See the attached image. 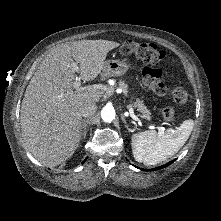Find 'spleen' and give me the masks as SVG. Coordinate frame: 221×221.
I'll use <instances>...</instances> for the list:
<instances>
[{"instance_id": "1", "label": "spleen", "mask_w": 221, "mask_h": 221, "mask_svg": "<svg viewBox=\"0 0 221 221\" xmlns=\"http://www.w3.org/2000/svg\"><path fill=\"white\" fill-rule=\"evenodd\" d=\"M194 121H183L176 130L168 129L159 134L148 130L132 135V153L137 162L145 165L158 164L175 155L188 140Z\"/></svg>"}]
</instances>
